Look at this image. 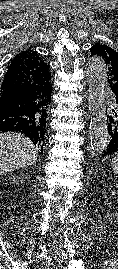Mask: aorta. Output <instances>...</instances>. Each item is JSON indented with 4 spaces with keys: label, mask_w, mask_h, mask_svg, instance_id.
Listing matches in <instances>:
<instances>
[{
    "label": "aorta",
    "mask_w": 118,
    "mask_h": 269,
    "mask_svg": "<svg viewBox=\"0 0 118 269\" xmlns=\"http://www.w3.org/2000/svg\"><path fill=\"white\" fill-rule=\"evenodd\" d=\"M86 73L89 82L90 140L92 155L103 153L108 139L105 113L104 89L107 84V69L102 58H90Z\"/></svg>",
    "instance_id": "1"
}]
</instances>
